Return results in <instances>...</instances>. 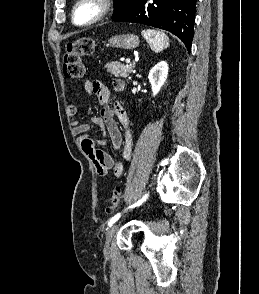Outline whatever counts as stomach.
<instances>
[{"instance_id": "obj_1", "label": "stomach", "mask_w": 259, "mask_h": 294, "mask_svg": "<svg viewBox=\"0 0 259 294\" xmlns=\"http://www.w3.org/2000/svg\"><path fill=\"white\" fill-rule=\"evenodd\" d=\"M139 42L138 36L134 34H123L111 37L108 45L114 48L135 49L139 46Z\"/></svg>"}]
</instances>
